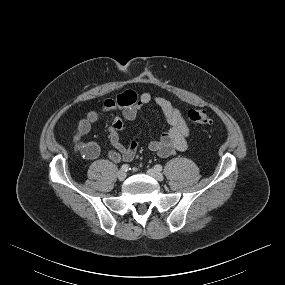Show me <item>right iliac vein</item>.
I'll return each instance as SVG.
<instances>
[{
  "instance_id": "63e3f726",
  "label": "right iliac vein",
  "mask_w": 285,
  "mask_h": 285,
  "mask_svg": "<svg viewBox=\"0 0 285 285\" xmlns=\"http://www.w3.org/2000/svg\"><path fill=\"white\" fill-rule=\"evenodd\" d=\"M117 177H118V180L123 181V180L126 178V172L120 170V171L117 173Z\"/></svg>"
}]
</instances>
